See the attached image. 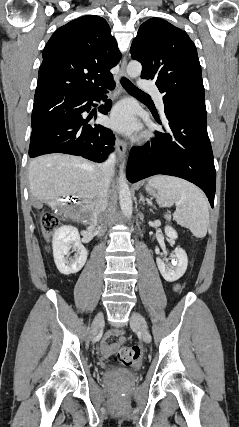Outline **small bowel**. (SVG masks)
I'll list each match as a JSON object with an SVG mask.
<instances>
[{
	"mask_svg": "<svg viewBox=\"0 0 239 427\" xmlns=\"http://www.w3.org/2000/svg\"><path fill=\"white\" fill-rule=\"evenodd\" d=\"M179 287L180 286L178 284H175L174 290L178 291ZM120 334H121V332L119 330H111L105 334V336L102 339L101 344H100L101 353L104 357H109L114 351H116L118 348H120L125 343V338L123 336H120L118 341L115 343L110 344L108 342V339L110 338V336L120 335Z\"/></svg>",
	"mask_w": 239,
	"mask_h": 427,
	"instance_id": "obj_1",
	"label": "small bowel"
}]
</instances>
